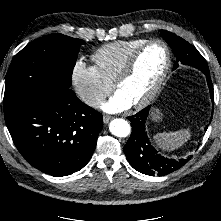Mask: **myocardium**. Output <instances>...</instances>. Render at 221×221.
<instances>
[{"mask_svg":"<svg viewBox=\"0 0 221 221\" xmlns=\"http://www.w3.org/2000/svg\"><path fill=\"white\" fill-rule=\"evenodd\" d=\"M153 44H160L164 48L165 53H166L165 66H164V69L160 75L159 80L157 81V83L155 84L153 89L149 92V94L147 96H145L142 100L133 104V106L136 108H143V107L149 105L150 103H152L156 99V97L159 95V93L161 92L162 88L164 87V85L166 83V80H167V77L169 75L171 65H172V54H171V50H170L169 46L167 45V43L161 39H151V40H147L146 42L141 44L128 57L124 66L122 67L121 71L119 72V74L117 75V77L115 78V80L113 82L114 87L117 90H119V87L121 86V84L124 81H126L133 73V70H134L135 65L137 63V60H138L139 56L141 55V53L147 47H149L150 45H153Z\"/></svg>","mask_w":221,"mask_h":221,"instance_id":"1","label":"myocardium"}]
</instances>
